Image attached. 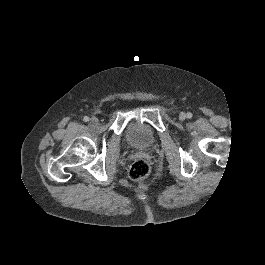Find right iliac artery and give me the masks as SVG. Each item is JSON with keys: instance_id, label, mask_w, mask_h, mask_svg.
Segmentation results:
<instances>
[{"instance_id": "right-iliac-artery-1", "label": "right iliac artery", "mask_w": 265, "mask_h": 265, "mask_svg": "<svg viewBox=\"0 0 265 265\" xmlns=\"http://www.w3.org/2000/svg\"><path fill=\"white\" fill-rule=\"evenodd\" d=\"M83 121L88 122V121H89V117L85 116V117L83 118Z\"/></svg>"}]
</instances>
